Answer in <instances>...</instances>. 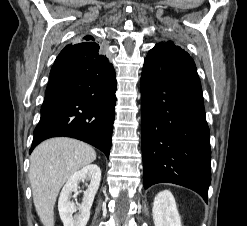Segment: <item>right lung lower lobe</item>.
Segmentation results:
<instances>
[{
  "instance_id": "1",
  "label": "right lung lower lobe",
  "mask_w": 247,
  "mask_h": 226,
  "mask_svg": "<svg viewBox=\"0 0 247 226\" xmlns=\"http://www.w3.org/2000/svg\"><path fill=\"white\" fill-rule=\"evenodd\" d=\"M115 92V71L102 47L95 42L67 45L51 68L30 153L45 139L66 136L109 157Z\"/></svg>"
}]
</instances>
